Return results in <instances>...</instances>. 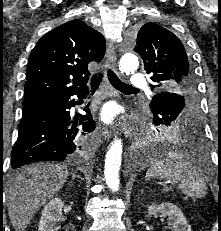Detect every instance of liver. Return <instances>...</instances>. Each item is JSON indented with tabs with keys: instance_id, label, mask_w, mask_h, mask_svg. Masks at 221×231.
I'll use <instances>...</instances> for the list:
<instances>
[{
	"instance_id": "obj_1",
	"label": "liver",
	"mask_w": 221,
	"mask_h": 231,
	"mask_svg": "<svg viewBox=\"0 0 221 231\" xmlns=\"http://www.w3.org/2000/svg\"><path fill=\"white\" fill-rule=\"evenodd\" d=\"M64 164H33L13 173L6 183L8 215L15 231H25L34 214L66 183Z\"/></svg>"
}]
</instances>
